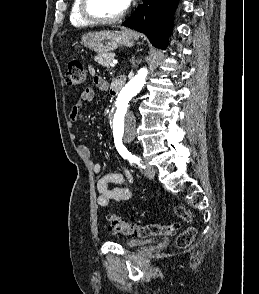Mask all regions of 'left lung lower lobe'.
Segmentation results:
<instances>
[{"label": "left lung lower lobe", "instance_id": "0a47b994", "mask_svg": "<svg viewBox=\"0 0 259 294\" xmlns=\"http://www.w3.org/2000/svg\"><path fill=\"white\" fill-rule=\"evenodd\" d=\"M177 3L178 0H143L123 25L146 34L154 46L165 49Z\"/></svg>", "mask_w": 259, "mask_h": 294}]
</instances>
